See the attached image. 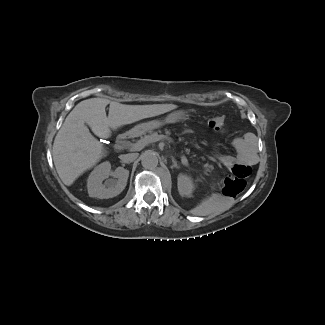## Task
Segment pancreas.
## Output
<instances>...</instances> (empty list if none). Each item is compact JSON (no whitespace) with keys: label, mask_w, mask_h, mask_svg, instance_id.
<instances>
[{"label":"pancreas","mask_w":325,"mask_h":325,"mask_svg":"<svg viewBox=\"0 0 325 325\" xmlns=\"http://www.w3.org/2000/svg\"><path fill=\"white\" fill-rule=\"evenodd\" d=\"M151 134H160L164 135L166 134L168 137H171L173 139H176L180 143V148L182 153L192 162L195 164L201 166L202 168H206L209 165V162L204 158L200 157L197 154L193 153L190 149L189 141L186 139V137L183 134H180L175 130L171 129L170 127H161L159 130L158 129H152L150 131ZM149 135L145 136L148 137Z\"/></svg>","instance_id":"cf45deb5"}]
</instances>
